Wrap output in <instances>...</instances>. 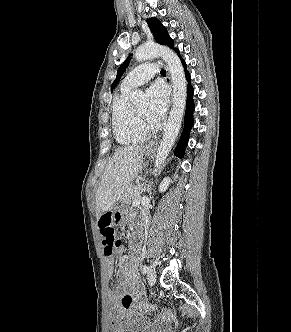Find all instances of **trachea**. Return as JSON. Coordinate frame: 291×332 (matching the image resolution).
<instances>
[{
    "instance_id": "1",
    "label": "trachea",
    "mask_w": 291,
    "mask_h": 332,
    "mask_svg": "<svg viewBox=\"0 0 291 332\" xmlns=\"http://www.w3.org/2000/svg\"><path fill=\"white\" fill-rule=\"evenodd\" d=\"M160 73L165 75L166 72H165V70H161Z\"/></svg>"
}]
</instances>
